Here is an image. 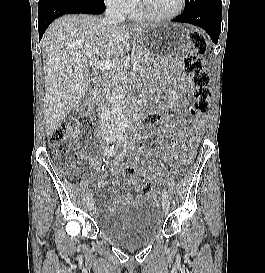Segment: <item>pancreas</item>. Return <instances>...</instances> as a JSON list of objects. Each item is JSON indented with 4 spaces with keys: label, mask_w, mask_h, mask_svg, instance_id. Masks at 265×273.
<instances>
[{
    "label": "pancreas",
    "mask_w": 265,
    "mask_h": 273,
    "mask_svg": "<svg viewBox=\"0 0 265 273\" xmlns=\"http://www.w3.org/2000/svg\"><path fill=\"white\" fill-rule=\"evenodd\" d=\"M148 60H151L148 53L142 49L141 47H137L132 52V62L135 66L138 68H143V66L148 62ZM123 80L122 75L119 73H115L112 75V81L113 83H119Z\"/></svg>",
    "instance_id": "cf45deb5"
}]
</instances>
